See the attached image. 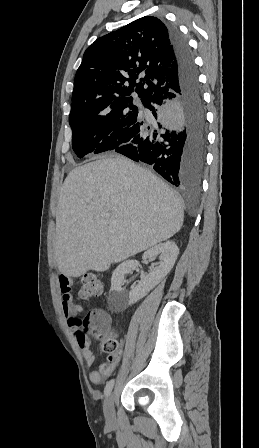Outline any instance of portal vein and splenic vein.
<instances>
[{"label":"portal vein and splenic vein","mask_w":259,"mask_h":448,"mask_svg":"<svg viewBox=\"0 0 259 448\" xmlns=\"http://www.w3.org/2000/svg\"><path fill=\"white\" fill-rule=\"evenodd\" d=\"M103 216H104L105 220H109L111 214H103Z\"/></svg>","instance_id":"obj_1"}]
</instances>
